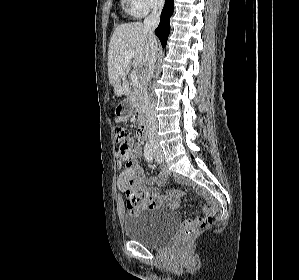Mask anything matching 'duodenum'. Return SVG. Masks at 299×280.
Returning <instances> with one entry per match:
<instances>
[{
	"label": "duodenum",
	"instance_id": "410a0bca",
	"mask_svg": "<svg viewBox=\"0 0 299 280\" xmlns=\"http://www.w3.org/2000/svg\"><path fill=\"white\" fill-rule=\"evenodd\" d=\"M147 131H148V128H147V124L146 122H143L140 127H139V130H138V136L140 139H145L147 137Z\"/></svg>",
	"mask_w": 299,
	"mask_h": 280
}]
</instances>
